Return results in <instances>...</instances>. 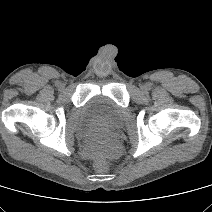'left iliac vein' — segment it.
I'll return each instance as SVG.
<instances>
[{"label": "left iliac vein", "mask_w": 212, "mask_h": 212, "mask_svg": "<svg viewBox=\"0 0 212 212\" xmlns=\"http://www.w3.org/2000/svg\"><path fill=\"white\" fill-rule=\"evenodd\" d=\"M142 90H146V87L144 86V87H142Z\"/></svg>", "instance_id": "4c4485c4"}]
</instances>
